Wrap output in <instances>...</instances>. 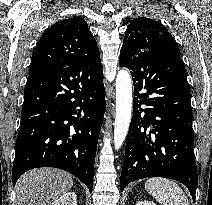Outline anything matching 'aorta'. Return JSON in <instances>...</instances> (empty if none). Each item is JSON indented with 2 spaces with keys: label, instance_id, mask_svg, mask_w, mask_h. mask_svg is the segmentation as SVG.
Instances as JSON below:
<instances>
[{
  "label": "aorta",
  "instance_id": "aorta-1",
  "mask_svg": "<svg viewBox=\"0 0 212 205\" xmlns=\"http://www.w3.org/2000/svg\"><path fill=\"white\" fill-rule=\"evenodd\" d=\"M132 79L121 69L116 77V117L114 123V148L119 150L127 136L132 117Z\"/></svg>",
  "mask_w": 212,
  "mask_h": 205
}]
</instances>
